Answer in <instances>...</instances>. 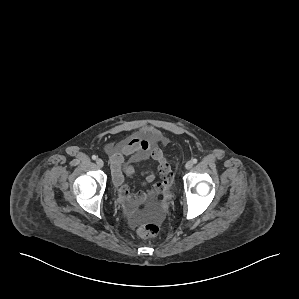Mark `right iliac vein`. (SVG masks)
Wrapping results in <instances>:
<instances>
[{
	"mask_svg": "<svg viewBox=\"0 0 299 299\" xmlns=\"http://www.w3.org/2000/svg\"><path fill=\"white\" fill-rule=\"evenodd\" d=\"M96 164H97V166L100 167V168L104 166V162H103V160L100 159V158H98V159L96 160Z\"/></svg>",
	"mask_w": 299,
	"mask_h": 299,
	"instance_id": "obj_1",
	"label": "right iliac vein"
}]
</instances>
